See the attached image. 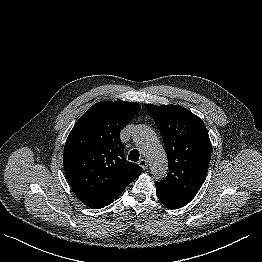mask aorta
<instances>
[{
	"label": "aorta",
	"instance_id": "aorta-1",
	"mask_svg": "<svg viewBox=\"0 0 262 262\" xmlns=\"http://www.w3.org/2000/svg\"><path fill=\"white\" fill-rule=\"evenodd\" d=\"M133 140L149 161L154 178L161 180L167 174L168 160L155 132L146 125H138Z\"/></svg>",
	"mask_w": 262,
	"mask_h": 262
}]
</instances>
